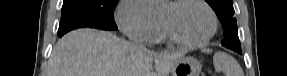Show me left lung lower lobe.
I'll return each instance as SVG.
<instances>
[{"instance_id":"0a47b994","label":"left lung lower lobe","mask_w":287,"mask_h":76,"mask_svg":"<svg viewBox=\"0 0 287 76\" xmlns=\"http://www.w3.org/2000/svg\"><path fill=\"white\" fill-rule=\"evenodd\" d=\"M234 51H236V52H238V53H240V54H241V49L234 50Z\"/></svg>"}]
</instances>
